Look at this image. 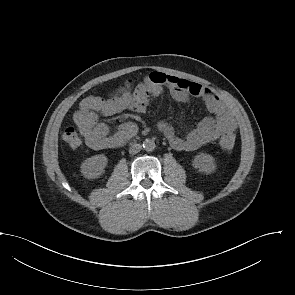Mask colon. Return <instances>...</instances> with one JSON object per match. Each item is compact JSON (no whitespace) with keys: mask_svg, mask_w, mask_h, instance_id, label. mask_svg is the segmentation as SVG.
<instances>
[{"mask_svg":"<svg viewBox=\"0 0 295 295\" xmlns=\"http://www.w3.org/2000/svg\"><path fill=\"white\" fill-rule=\"evenodd\" d=\"M62 137L67 145L73 149L79 147L81 144V139L73 127L66 128L63 131ZM220 145L225 151L232 150L235 145V132L231 130L226 131L220 139Z\"/></svg>","mask_w":295,"mask_h":295,"instance_id":"1","label":"colon"}]
</instances>
